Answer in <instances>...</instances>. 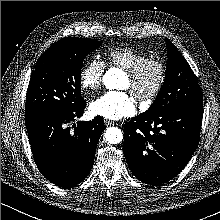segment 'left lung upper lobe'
Masks as SVG:
<instances>
[{
    "label": "left lung upper lobe",
    "instance_id": "obj_1",
    "mask_svg": "<svg viewBox=\"0 0 220 220\" xmlns=\"http://www.w3.org/2000/svg\"><path fill=\"white\" fill-rule=\"evenodd\" d=\"M167 66L165 81L157 98L146 111L148 114L164 112L171 108L203 105L201 88L185 58L166 38Z\"/></svg>",
    "mask_w": 220,
    "mask_h": 220
}]
</instances>
